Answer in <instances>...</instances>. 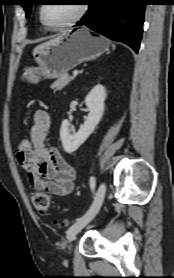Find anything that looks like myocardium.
I'll return each instance as SVG.
<instances>
[{
    "mask_svg": "<svg viewBox=\"0 0 174 278\" xmlns=\"http://www.w3.org/2000/svg\"><path fill=\"white\" fill-rule=\"evenodd\" d=\"M44 6L45 5H42L39 9V18H40V21L42 22V24L47 29L52 30V31L61 30L65 27H68V26L76 23L77 21H79L86 14V12L88 10V5L86 3H83V4L80 5V9H79L78 13L73 18H71L70 20H68L67 22H65L63 24H60V25H57V26H52L44 18V14H43Z\"/></svg>",
    "mask_w": 174,
    "mask_h": 278,
    "instance_id": "myocardium-1",
    "label": "myocardium"
}]
</instances>
